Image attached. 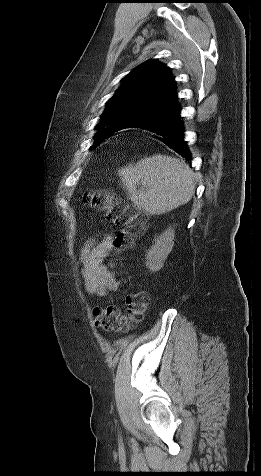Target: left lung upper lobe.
<instances>
[{"label":"left lung upper lobe","instance_id":"5c2ea615","mask_svg":"<svg viewBox=\"0 0 261 476\" xmlns=\"http://www.w3.org/2000/svg\"><path fill=\"white\" fill-rule=\"evenodd\" d=\"M175 80L169 68L149 60L133 69L123 79L121 87L109 99L97 125L100 129L92 148L105 133L147 117L159 116L177 105Z\"/></svg>","mask_w":261,"mask_h":476}]
</instances>
